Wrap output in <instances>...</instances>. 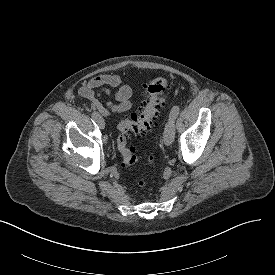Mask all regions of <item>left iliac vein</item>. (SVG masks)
Masks as SVG:
<instances>
[{
	"mask_svg": "<svg viewBox=\"0 0 275 275\" xmlns=\"http://www.w3.org/2000/svg\"><path fill=\"white\" fill-rule=\"evenodd\" d=\"M175 138V121L172 118H169L163 134V141L165 145H170Z\"/></svg>",
	"mask_w": 275,
	"mask_h": 275,
	"instance_id": "obj_1",
	"label": "left iliac vein"
}]
</instances>
